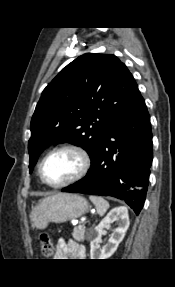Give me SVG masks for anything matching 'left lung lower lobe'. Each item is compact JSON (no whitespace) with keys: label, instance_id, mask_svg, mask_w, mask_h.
I'll return each instance as SVG.
<instances>
[{"label":"left lung lower lobe","instance_id":"1","mask_svg":"<svg viewBox=\"0 0 175 287\" xmlns=\"http://www.w3.org/2000/svg\"><path fill=\"white\" fill-rule=\"evenodd\" d=\"M152 159L150 116L138 92L133 104L106 131L87 175L62 191L116 197L138 215Z\"/></svg>","mask_w":175,"mask_h":287}]
</instances>
